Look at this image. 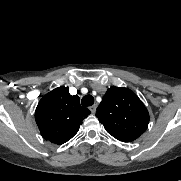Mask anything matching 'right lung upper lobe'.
Returning a JSON list of instances; mask_svg holds the SVG:
<instances>
[{
    "label": "right lung upper lobe",
    "mask_w": 181,
    "mask_h": 181,
    "mask_svg": "<svg viewBox=\"0 0 181 181\" xmlns=\"http://www.w3.org/2000/svg\"><path fill=\"white\" fill-rule=\"evenodd\" d=\"M69 88L60 86L44 95L39 101L35 120L45 140L61 145L79 130L83 119L91 112L80 105L77 95H70Z\"/></svg>",
    "instance_id": "1"
}]
</instances>
